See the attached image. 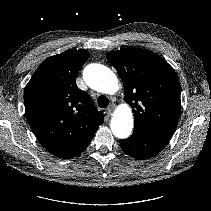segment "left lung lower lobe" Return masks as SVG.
<instances>
[{
  "mask_svg": "<svg viewBox=\"0 0 211 211\" xmlns=\"http://www.w3.org/2000/svg\"><path fill=\"white\" fill-rule=\"evenodd\" d=\"M171 135L133 132L128 139L121 140L122 150L136 159H147L156 155L169 143Z\"/></svg>",
  "mask_w": 211,
  "mask_h": 211,
  "instance_id": "obj_1",
  "label": "left lung lower lobe"
}]
</instances>
